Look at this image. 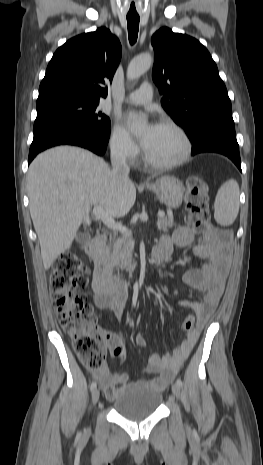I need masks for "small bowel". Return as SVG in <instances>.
<instances>
[{
    "instance_id": "c3829d8e",
    "label": "small bowel",
    "mask_w": 263,
    "mask_h": 465,
    "mask_svg": "<svg viewBox=\"0 0 263 465\" xmlns=\"http://www.w3.org/2000/svg\"><path fill=\"white\" fill-rule=\"evenodd\" d=\"M193 242V230L187 226H180L175 229L171 236L161 238L153 251V255L155 258L165 253L169 255L174 245L186 247ZM229 244V234L219 233L211 240L193 246V253L199 258L208 260V262L199 268L187 271L183 280L185 284L203 293L204 296L202 299L181 298L178 303L183 307L191 308L196 313L198 326L189 332L186 339L172 352H167L164 355L151 353L148 356L145 373L155 375L153 378L129 382L128 374L125 372L112 373L107 367L101 371H93L94 378L103 388L109 400L118 398L134 386L145 385L152 390L162 392L178 373L193 350L202 327L213 314L223 293L228 271ZM126 300L127 288L123 284L114 293H102L97 290L94 296V303L98 308L111 310L119 319L123 317ZM103 335L111 356L123 363L125 349L121 340L112 333L103 332ZM135 345L141 349L146 348L143 336L137 335L135 337Z\"/></svg>"
}]
</instances>
